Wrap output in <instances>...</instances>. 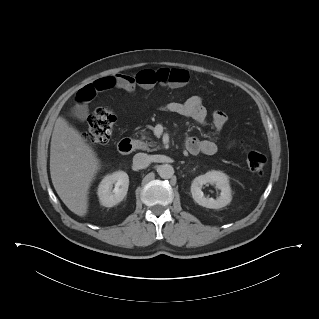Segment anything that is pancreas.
I'll return each mask as SVG.
<instances>
[{
  "instance_id": "obj_1",
  "label": "pancreas",
  "mask_w": 319,
  "mask_h": 319,
  "mask_svg": "<svg viewBox=\"0 0 319 319\" xmlns=\"http://www.w3.org/2000/svg\"><path fill=\"white\" fill-rule=\"evenodd\" d=\"M136 148L148 152L159 149L157 142L152 141L149 137L145 136V134H142L141 140L136 141Z\"/></svg>"
}]
</instances>
